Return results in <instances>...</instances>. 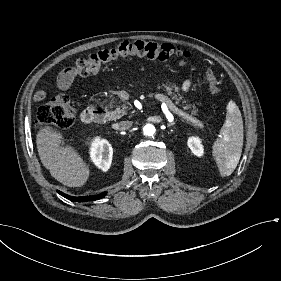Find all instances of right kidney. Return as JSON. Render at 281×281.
I'll use <instances>...</instances> for the list:
<instances>
[{
	"instance_id": "obj_1",
	"label": "right kidney",
	"mask_w": 281,
	"mask_h": 281,
	"mask_svg": "<svg viewBox=\"0 0 281 281\" xmlns=\"http://www.w3.org/2000/svg\"><path fill=\"white\" fill-rule=\"evenodd\" d=\"M91 157L94 163L104 171H107L113 158V148L106 140H97L92 144Z\"/></svg>"
}]
</instances>
